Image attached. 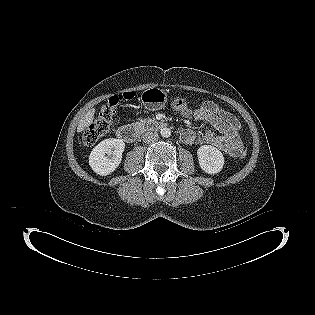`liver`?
I'll return each mask as SVG.
<instances>
[{
    "label": "liver",
    "mask_w": 315,
    "mask_h": 315,
    "mask_svg": "<svg viewBox=\"0 0 315 315\" xmlns=\"http://www.w3.org/2000/svg\"><path fill=\"white\" fill-rule=\"evenodd\" d=\"M95 109H90L83 118L80 119L77 131L82 132L85 128L89 127L93 123Z\"/></svg>",
    "instance_id": "liver-1"
}]
</instances>
